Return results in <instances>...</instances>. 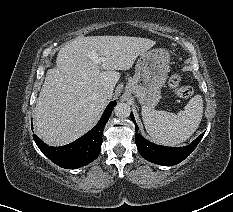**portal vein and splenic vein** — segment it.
I'll use <instances>...</instances> for the list:
<instances>
[{
  "mask_svg": "<svg viewBox=\"0 0 233 212\" xmlns=\"http://www.w3.org/2000/svg\"><path fill=\"white\" fill-rule=\"evenodd\" d=\"M88 56L91 58V60L93 61V63L95 64H99L101 62H104L106 61V58L105 57H99V55L96 53V51H90L88 53Z\"/></svg>",
  "mask_w": 233,
  "mask_h": 212,
  "instance_id": "obj_1",
  "label": "portal vein and splenic vein"
}]
</instances>
